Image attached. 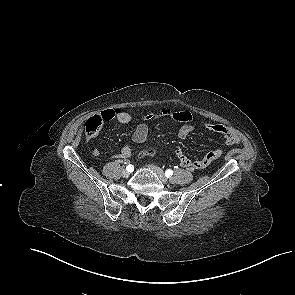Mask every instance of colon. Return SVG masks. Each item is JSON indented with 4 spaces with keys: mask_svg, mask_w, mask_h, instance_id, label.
<instances>
[{
    "mask_svg": "<svg viewBox=\"0 0 295 295\" xmlns=\"http://www.w3.org/2000/svg\"><path fill=\"white\" fill-rule=\"evenodd\" d=\"M102 125V121L98 116H94L86 123V131L89 136H94ZM155 154L154 148H147L141 153V157H149Z\"/></svg>",
    "mask_w": 295,
    "mask_h": 295,
    "instance_id": "colon-1",
    "label": "colon"
}]
</instances>
